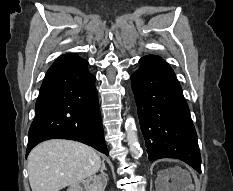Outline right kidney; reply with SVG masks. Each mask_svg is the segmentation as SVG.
<instances>
[{
  "label": "right kidney",
  "instance_id": "ca27d5eb",
  "mask_svg": "<svg viewBox=\"0 0 233 191\" xmlns=\"http://www.w3.org/2000/svg\"><path fill=\"white\" fill-rule=\"evenodd\" d=\"M87 191H104L107 180L94 175L84 182ZM67 191H82L79 185L71 186Z\"/></svg>",
  "mask_w": 233,
  "mask_h": 191
}]
</instances>
